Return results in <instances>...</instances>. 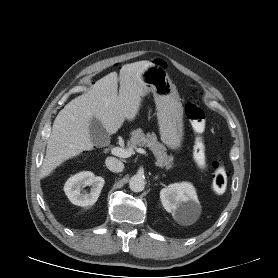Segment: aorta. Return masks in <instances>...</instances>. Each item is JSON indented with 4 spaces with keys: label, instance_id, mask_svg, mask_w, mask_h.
Returning <instances> with one entry per match:
<instances>
[{
    "label": "aorta",
    "instance_id": "762f6f07",
    "mask_svg": "<svg viewBox=\"0 0 278 278\" xmlns=\"http://www.w3.org/2000/svg\"><path fill=\"white\" fill-rule=\"evenodd\" d=\"M145 184V179L140 175H134L129 181V187L133 192L143 191Z\"/></svg>",
    "mask_w": 278,
    "mask_h": 278
}]
</instances>
